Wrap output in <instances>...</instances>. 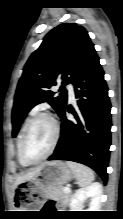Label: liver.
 <instances>
[{
	"label": "liver",
	"instance_id": "1",
	"mask_svg": "<svg viewBox=\"0 0 123 219\" xmlns=\"http://www.w3.org/2000/svg\"><path fill=\"white\" fill-rule=\"evenodd\" d=\"M44 164L33 168L31 170H29L28 172H26L25 174H22L20 176H18L13 184V189H15L19 184L30 180L31 178H33L38 172H40V170L42 169Z\"/></svg>",
	"mask_w": 123,
	"mask_h": 219
}]
</instances>
